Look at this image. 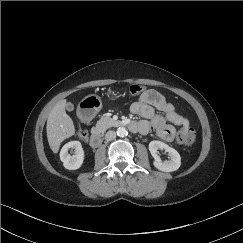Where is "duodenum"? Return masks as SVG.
<instances>
[{
    "mask_svg": "<svg viewBox=\"0 0 243 243\" xmlns=\"http://www.w3.org/2000/svg\"><path fill=\"white\" fill-rule=\"evenodd\" d=\"M119 125L128 127L133 132H137L139 129V124H137L135 122H122V123H119ZM101 142H102V135H101L100 131H98L96 129L93 130L90 135V145L93 148H96L101 144Z\"/></svg>",
    "mask_w": 243,
    "mask_h": 243,
    "instance_id": "1",
    "label": "duodenum"
}]
</instances>
